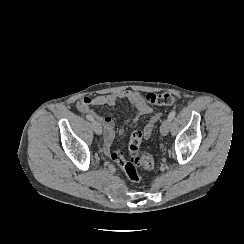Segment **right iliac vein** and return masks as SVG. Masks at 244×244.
<instances>
[{
	"instance_id": "right-iliac-vein-1",
	"label": "right iliac vein",
	"mask_w": 244,
	"mask_h": 244,
	"mask_svg": "<svg viewBox=\"0 0 244 244\" xmlns=\"http://www.w3.org/2000/svg\"><path fill=\"white\" fill-rule=\"evenodd\" d=\"M92 127L96 134H98V135L102 134V126L98 121H93Z\"/></svg>"
}]
</instances>
